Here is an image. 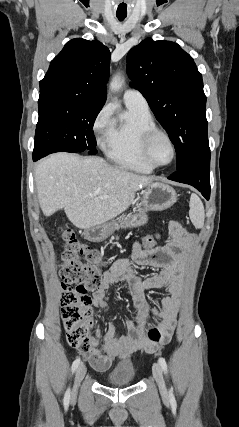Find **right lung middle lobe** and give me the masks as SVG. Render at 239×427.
<instances>
[{
  "mask_svg": "<svg viewBox=\"0 0 239 427\" xmlns=\"http://www.w3.org/2000/svg\"><path fill=\"white\" fill-rule=\"evenodd\" d=\"M101 109L87 103L39 100L33 159L59 151L96 154L92 128Z\"/></svg>",
  "mask_w": 239,
  "mask_h": 427,
  "instance_id": "1",
  "label": "right lung middle lobe"
}]
</instances>
